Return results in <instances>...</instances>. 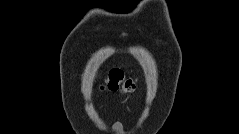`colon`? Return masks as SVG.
Segmentation results:
<instances>
[{
    "mask_svg": "<svg viewBox=\"0 0 239 134\" xmlns=\"http://www.w3.org/2000/svg\"><path fill=\"white\" fill-rule=\"evenodd\" d=\"M101 88L129 94L134 91L135 86L132 80L124 77L122 71L114 69L109 72Z\"/></svg>",
    "mask_w": 239,
    "mask_h": 134,
    "instance_id": "5ec220e1",
    "label": "colon"
}]
</instances>
